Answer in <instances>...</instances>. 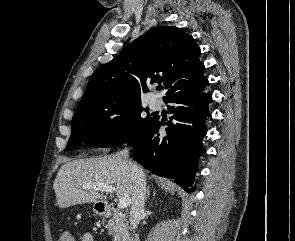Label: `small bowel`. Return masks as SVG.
I'll list each match as a JSON object with an SVG mask.
<instances>
[{
  "instance_id": "small-bowel-1",
  "label": "small bowel",
  "mask_w": 295,
  "mask_h": 241,
  "mask_svg": "<svg viewBox=\"0 0 295 241\" xmlns=\"http://www.w3.org/2000/svg\"><path fill=\"white\" fill-rule=\"evenodd\" d=\"M59 241H61L60 238H59ZM82 241H95V239L92 234L86 233V234H84Z\"/></svg>"
}]
</instances>
